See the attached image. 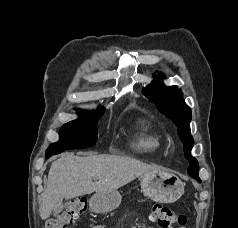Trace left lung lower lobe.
<instances>
[{
	"instance_id": "obj_1",
	"label": "left lung lower lobe",
	"mask_w": 238,
	"mask_h": 228,
	"mask_svg": "<svg viewBox=\"0 0 238 228\" xmlns=\"http://www.w3.org/2000/svg\"><path fill=\"white\" fill-rule=\"evenodd\" d=\"M195 179L198 180L199 182H201L199 178H195Z\"/></svg>"
}]
</instances>
